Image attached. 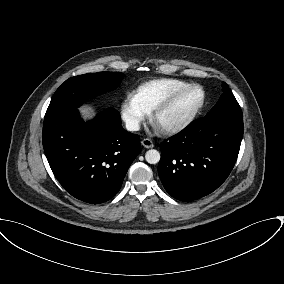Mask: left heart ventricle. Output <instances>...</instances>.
<instances>
[{
	"mask_svg": "<svg viewBox=\"0 0 284 284\" xmlns=\"http://www.w3.org/2000/svg\"><path fill=\"white\" fill-rule=\"evenodd\" d=\"M201 98L202 93L199 89L188 90L168 111L160 116L158 123L165 125L181 120L195 109Z\"/></svg>",
	"mask_w": 284,
	"mask_h": 284,
	"instance_id": "b2bd125f",
	"label": "left heart ventricle"
}]
</instances>
